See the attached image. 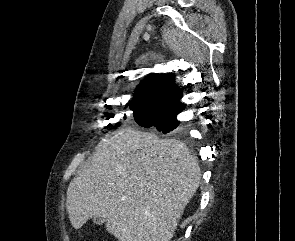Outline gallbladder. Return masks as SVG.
I'll use <instances>...</instances> for the list:
<instances>
[{"instance_id":"obj_1","label":"gallbladder","mask_w":295,"mask_h":241,"mask_svg":"<svg viewBox=\"0 0 295 241\" xmlns=\"http://www.w3.org/2000/svg\"><path fill=\"white\" fill-rule=\"evenodd\" d=\"M93 222L94 224L102 225L104 222V219L102 217H93Z\"/></svg>"}]
</instances>
